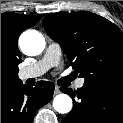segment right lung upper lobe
<instances>
[{
  "instance_id": "right-lung-upper-lobe-1",
  "label": "right lung upper lobe",
  "mask_w": 123,
  "mask_h": 123,
  "mask_svg": "<svg viewBox=\"0 0 123 123\" xmlns=\"http://www.w3.org/2000/svg\"><path fill=\"white\" fill-rule=\"evenodd\" d=\"M42 16L11 12L1 14V60L6 65L5 71L1 73V85L22 83L18 78V64L21 62L18 37L26 28L35 25Z\"/></svg>"
}]
</instances>
